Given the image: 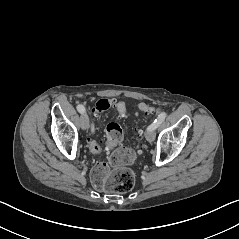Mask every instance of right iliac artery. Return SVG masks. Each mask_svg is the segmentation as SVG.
Masks as SVG:
<instances>
[{"label": "right iliac artery", "mask_w": 239, "mask_h": 239, "mask_svg": "<svg viewBox=\"0 0 239 239\" xmlns=\"http://www.w3.org/2000/svg\"><path fill=\"white\" fill-rule=\"evenodd\" d=\"M77 110L79 113L84 114L85 113V107L83 105H78Z\"/></svg>", "instance_id": "right-iliac-artery-1"}]
</instances>
